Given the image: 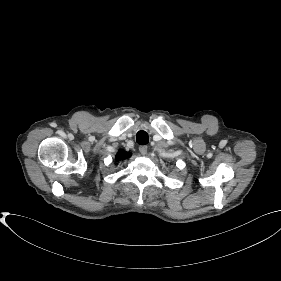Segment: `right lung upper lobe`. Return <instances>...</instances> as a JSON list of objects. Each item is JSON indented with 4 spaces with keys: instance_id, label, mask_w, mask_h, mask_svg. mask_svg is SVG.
<instances>
[{
    "instance_id": "obj_1",
    "label": "right lung upper lobe",
    "mask_w": 281,
    "mask_h": 281,
    "mask_svg": "<svg viewBox=\"0 0 281 281\" xmlns=\"http://www.w3.org/2000/svg\"><path fill=\"white\" fill-rule=\"evenodd\" d=\"M130 156H131V153L123 151V150H119V152L117 153L115 158L117 161H120V160L126 159Z\"/></svg>"
}]
</instances>
